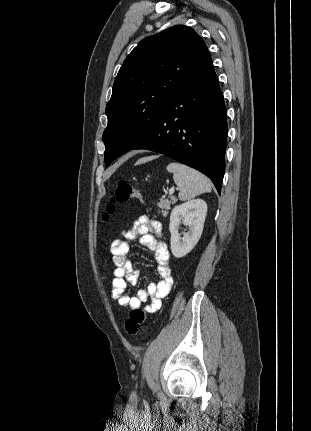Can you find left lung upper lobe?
I'll return each instance as SVG.
<instances>
[{
  "label": "left lung upper lobe",
  "instance_id": "left-lung-upper-lobe-1",
  "mask_svg": "<svg viewBox=\"0 0 311 431\" xmlns=\"http://www.w3.org/2000/svg\"><path fill=\"white\" fill-rule=\"evenodd\" d=\"M208 49L183 25L149 36L127 56L106 106L105 164L132 150L155 128L167 105L197 69Z\"/></svg>",
  "mask_w": 311,
  "mask_h": 431
}]
</instances>
